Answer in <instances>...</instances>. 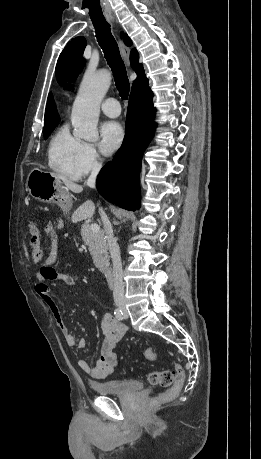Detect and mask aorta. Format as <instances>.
Segmentation results:
<instances>
[{
    "instance_id": "1",
    "label": "aorta",
    "mask_w": 261,
    "mask_h": 459,
    "mask_svg": "<svg viewBox=\"0 0 261 459\" xmlns=\"http://www.w3.org/2000/svg\"><path fill=\"white\" fill-rule=\"evenodd\" d=\"M111 79L107 70L85 74L72 108L74 136L87 141L97 139L100 104L111 85Z\"/></svg>"
}]
</instances>
